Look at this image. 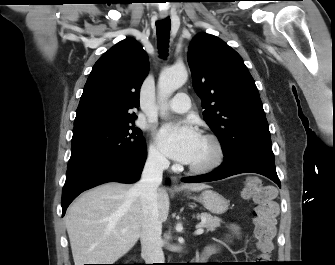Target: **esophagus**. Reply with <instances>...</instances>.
<instances>
[{"mask_svg":"<svg viewBox=\"0 0 335 265\" xmlns=\"http://www.w3.org/2000/svg\"><path fill=\"white\" fill-rule=\"evenodd\" d=\"M159 16H160L161 19H165V18H167L168 14H167L166 12H161V13L159 14ZM175 187L178 189V186H177V185H175Z\"/></svg>","mask_w":335,"mask_h":265,"instance_id":"obj_1","label":"esophagus"}]
</instances>
